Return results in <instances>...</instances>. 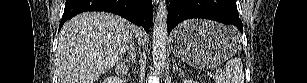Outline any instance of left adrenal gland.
Wrapping results in <instances>:
<instances>
[{
  "instance_id": "left-adrenal-gland-1",
  "label": "left adrenal gland",
  "mask_w": 307,
  "mask_h": 83,
  "mask_svg": "<svg viewBox=\"0 0 307 83\" xmlns=\"http://www.w3.org/2000/svg\"><path fill=\"white\" fill-rule=\"evenodd\" d=\"M172 62H173V68H172L173 73L179 72V73H181V74H184V71L181 70V68H179V67L176 65L175 60H172Z\"/></svg>"
}]
</instances>
